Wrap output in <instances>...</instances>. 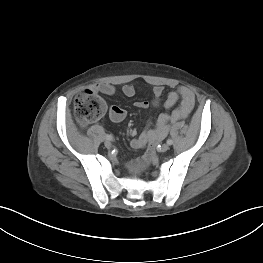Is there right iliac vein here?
<instances>
[{
	"mask_svg": "<svg viewBox=\"0 0 263 263\" xmlns=\"http://www.w3.org/2000/svg\"><path fill=\"white\" fill-rule=\"evenodd\" d=\"M104 145L108 149H110L112 147V143L109 140H105Z\"/></svg>",
	"mask_w": 263,
	"mask_h": 263,
	"instance_id": "right-iliac-vein-1",
	"label": "right iliac vein"
}]
</instances>
